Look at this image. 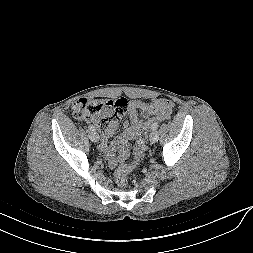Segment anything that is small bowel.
Returning <instances> with one entry per match:
<instances>
[{
	"instance_id": "obj_1",
	"label": "small bowel",
	"mask_w": 253,
	"mask_h": 253,
	"mask_svg": "<svg viewBox=\"0 0 253 253\" xmlns=\"http://www.w3.org/2000/svg\"><path fill=\"white\" fill-rule=\"evenodd\" d=\"M173 110L174 103L163 98L151 102L130 101L127 108L130 120L124 123V132L116 141L111 140L118 128L117 122L114 129L106 133L101 141V151L107 158L110 168L114 169L127 160L131 152L129 141L134 140L144 126L169 118Z\"/></svg>"
}]
</instances>
